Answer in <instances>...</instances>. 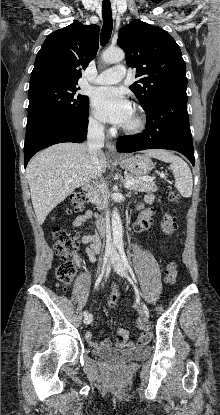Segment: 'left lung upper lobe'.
Instances as JSON below:
<instances>
[{"mask_svg":"<svg viewBox=\"0 0 220 415\" xmlns=\"http://www.w3.org/2000/svg\"><path fill=\"white\" fill-rule=\"evenodd\" d=\"M117 43L125 51L127 64L136 68L140 79L130 89L143 108L161 93L186 90L181 50L165 30L136 19L122 28Z\"/></svg>","mask_w":220,"mask_h":415,"instance_id":"1","label":"left lung upper lobe"}]
</instances>
